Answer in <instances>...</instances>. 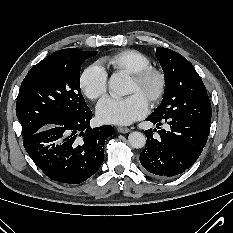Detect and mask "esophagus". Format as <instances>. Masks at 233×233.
<instances>
[{
	"mask_svg": "<svg viewBox=\"0 0 233 233\" xmlns=\"http://www.w3.org/2000/svg\"><path fill=\"white\" fill-rule=\"evenodd\" d=\"M117 131L119 132V133H122V134H126V133H128L129 131H130V129L129 128H127V127H117Z\"/></svg>",
	"mask_w": 233,
	"mask_h": 233,
	"instance_id": "obj_1",
	"label": "esophagus"
}]
</instances>
